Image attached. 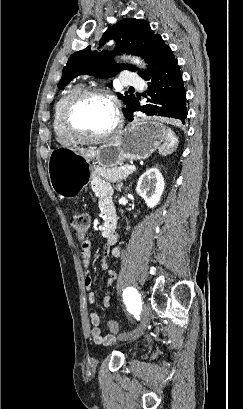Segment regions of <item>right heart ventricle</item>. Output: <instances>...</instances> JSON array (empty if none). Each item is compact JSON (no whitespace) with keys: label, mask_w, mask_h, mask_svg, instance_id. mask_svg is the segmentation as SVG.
I'll return each mask as SVG.
<instances>
[{"label":"right heart ventricle","mask_w":243,"mask_h":409,"mask_svg":"<svg viewBox=\"0 0 243 409\" xmlns=\"http://www.w3.org/2000/svg\"><path fill=\"white\" fill-rule=\"evenodd\" d=\"M82 89L81 84H75L68 88L56 101L53 110V129L57 138V141L62 145H72L76 143V140L72 138L64 129L62 123V111L67 99L76 91Z\"/></svg>","instance_id":"e07e8e85"}]
</instances>
